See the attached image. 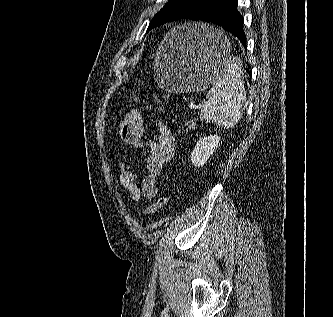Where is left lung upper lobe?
<instances>
[{"label":"left lung upper lobe","mask_w":333,"mask_h":317,"mask_svg":"<svg viewBox=\"0 0 333 317\" xmlns=\"http://www.w3.org/2000/svg\"><path fill=\"white\" fill-rule=\"evenodd\" d=\"M212 1L214 0H169L151 20L147 31L162 23L183 19L187 13Z\"/></svg>","instance_id":"left-lung-upper-lobe-1"}]
</instances>
